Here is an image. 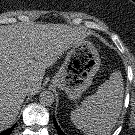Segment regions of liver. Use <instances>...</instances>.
<instances>
[{"instance_id":"obj_1","label":"liver","mask_w":135,"mask_h":135,"mask_svg":"<svg viewBox=\"0 0 135 135\" xmlns=\"http://www.w3.org/2000/svg\"><path fill=\"white\" fill-rule=\"evenodd\" d=\"M86 37L62 24L0 26V131L16 120L30 85L37 93L45 69Z\"/></svg>"}]
</instances>
